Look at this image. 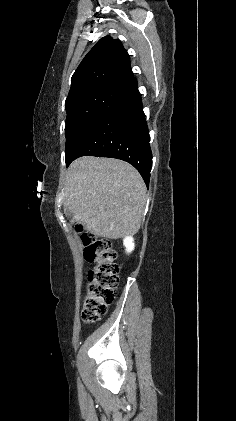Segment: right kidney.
Returning <instances> with one entry per match:
<instances>
[{
    "mask_svg": "<svg viewBox=\"0 0 236 421\" xmlns=\"http://www.w3.org/2000/svg\"><path fill=\"white\" fill-rule=\"evenodd\" d=\"M124 247H126V253H131V251H134L135 245L132 237H126V239H124Z\"/></svg>",
    "mask_w": 236,
    "mask_h": 421,
    "instance_id": "ca27d5eb",
    "label": "right kidney"
}]
</instances>
